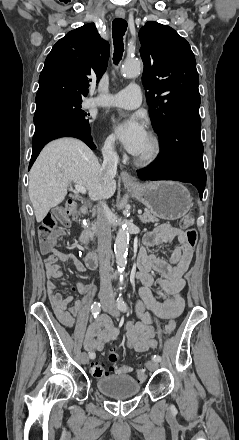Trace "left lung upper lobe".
Returning <instances> with one entry per match:
<instances>
[{"instance_id": "left-lung-upper-lobe-1", "label": "left lung upper lobe", "mask_w": 239, "mask_h": 440, "mask_svg": "<svg viewBox=\"0 0 239 440\" xmlns=\"http://www.w3.org/2000/svg\"><path fill=\"white\" fill-rule=\"evenodd\" d=\"M142 83L157 134L171 121L199 117V76L189 43L167 25L149 21L140 29Z\"/></svg>"}]
</instances>
